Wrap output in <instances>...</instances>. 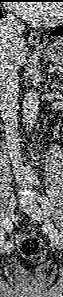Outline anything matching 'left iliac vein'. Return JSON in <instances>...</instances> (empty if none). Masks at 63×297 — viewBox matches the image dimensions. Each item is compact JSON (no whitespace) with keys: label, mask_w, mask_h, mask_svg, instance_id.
<instances>
[{"label":"left iliac vein","mask_w":63,"mask_h":297,"mask_svg":"<svg viewBox=\"0 0 63 297\" xmlns=\"http://www.w3.org/2000/svg\"><path fill=\"white\" fill-rule=\"evenodd\" d=\"M22 209L29 215H31L33 218H35L37 221H44L45 227L49 233V236L52 240L53 245L60 249L62 247V239L55 228V226L52 224V222L45 216L44 211L36 204H28L23 205Z\"/></svg>","instance_id":"1"}]
</instances>
